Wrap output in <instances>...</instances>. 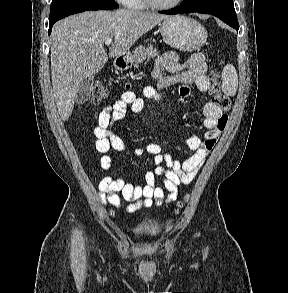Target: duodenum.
<instances>
[{
    "label": "duodenum",
    "instance_id": "obj_1",
    "mask_svg": "<svg viewBox=\"0 0 288 293\" xmlns=\"http://www.w3.org/2000/svg\"><path fill=\"white\" fill-rule=\"evenodd\" d=\"M114 65L117 69H121L122 67H124L125 63L122 58H118L115 60Z\"/></svg>",
    "mask_w": 288,
    "mask_h": 293
}]
</instances>
